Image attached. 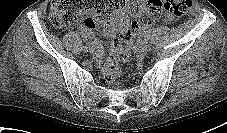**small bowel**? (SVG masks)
<instances>
[{
  "mask_svg": "<svg viewBox=\"0 0 227 133\" xmlns=\"http://www.w3.org/2000/svg\"><path fill=\"white\" fill-rule=\"evenodd\" d=\"M139 4L143 5V0H136ZM133 11L129 4V1L125 5H122L115 10L111 18L108 20L99 22V29L107 36H115L117 34H126L131 30ZM172 17H165V21H172ZM82 38L88 42L96 51V58L101 60L102 50L98 42L95 40L92 28H81L80 30Z\"/></svg>",
  "mask_w": 227,
  "mask_h": 133,
  "instance_id": "obj_1",
  "label": "small bowel"
}]
</instances>
